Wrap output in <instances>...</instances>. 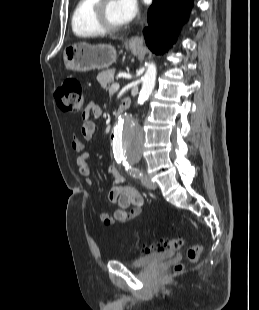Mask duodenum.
I'll return each mask as SVG.
<instances>
[{
    "mask_svg": "<svg viewBox=\"0 0 259 310\" xmlns=\"http://www.w3.org/2000/svg\"><path fill=\"white\" fill-rule=\"evenodd\" d=\"M128 104H129L128 100H123L121 105L115 110V113H114L115 116L122 115L125 112Z\"/></svg>",
    "mask_w": 259,
    "mask_h": 310,
    "instance_id": "obj_1",
    "label": "duodenum"
}]
</instances>
